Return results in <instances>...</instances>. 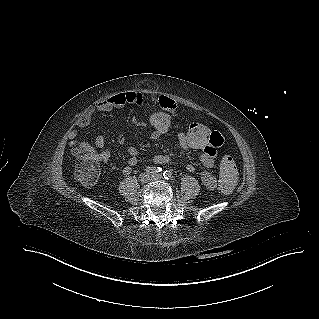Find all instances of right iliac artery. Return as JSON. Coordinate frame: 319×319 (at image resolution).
I'll list each match as a JSON object with an SVG mask.
<instances>
[{
	"mask_svg": "<svg viewBox=\"0 0 319 319\" xmlns=\"http://www.w3.org/2000/svg\"><path fill=\"white\" fill-rule=\"evenodd\" d=\"M145 171H146L147 173H159V172L162 171V168H161V167H147V168L145 169Z\"/></svg>",
	"mask_w": 319,
	"mask_h": 319,
	"instance_id": "1",
	"label": "right iliac artery"
}]
</instances>
